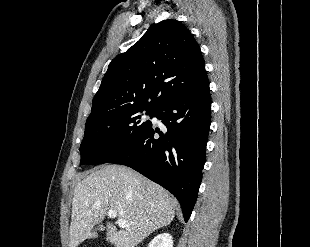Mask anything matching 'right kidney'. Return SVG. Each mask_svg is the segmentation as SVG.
I'll list each match as a JSON object with an SVG mask.
<instances>
[{"label":"right kidney","mask_w":310,"mask_h":247,"mask_svg":"<svg viewBox=\"0 0 310 247\" xmlns=\"http://www.w3.org/2000/svg\"><path fill=\"white\" fill-rule=\"evenodd\" d=\"M148 247H173V238L169 233L159 234L149 243Z\"/></svg>","instance_id":"ca27d5eb"}]
</instances>
